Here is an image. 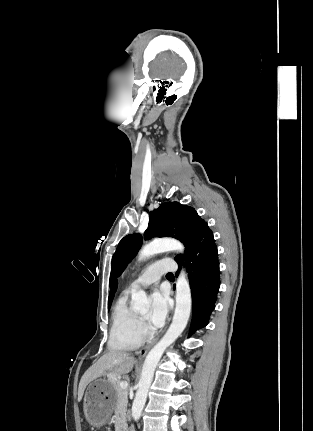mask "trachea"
I'll return each instance as SVG.
<instances>
[{"instance_id": "obj_1", "label": "trachea", "mask_w": 313, "mask_h": 431, "mask_svg": "<svg viewBox=\"0 0 313 431\" xmlns=\"http://www.w3.org/2000/svg\"><path fill=\"white\" fill-rule=\"evenodd\" d=\"M173 276V274L172 273H168L167 275H166V277H172Z\"/></svg>"}]
</instances>
